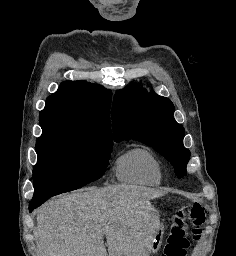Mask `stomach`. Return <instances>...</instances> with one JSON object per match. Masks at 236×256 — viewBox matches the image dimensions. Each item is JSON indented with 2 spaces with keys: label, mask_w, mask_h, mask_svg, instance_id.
<instances>
[{
  "label": "stomach",
  "mask_w": 236,
  "mask_h": 256,
  "mask_svg": "<svg viewBox=\"0 0 236 256\" xmlns=\"http://www.w3.org/2000/svg\"><path fill=\"white\" fill-rule=\"evenodd\" d=\"M162 235H163V228L160 227L159 231L157 232V235H156V240L157 242L154 243V251L157 250V244L159 243L160 239L162 238Z\"/></svg>",
  "instance_id": "0dacf381"
}]
</instances>
